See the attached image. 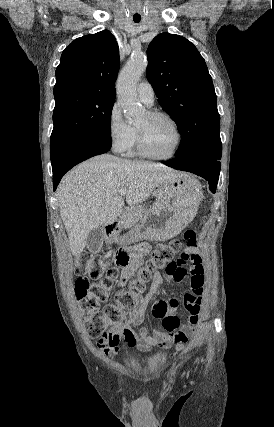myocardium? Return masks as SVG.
<instances>
[{
  "label": "myocardium",
  "mask_w": 274,
  "mask_h": 427,
  "mask_svg": "<svg viewBox=\"0 0 274 427\" xmlns=\"http://www.w3.org/2000/svg\"><path fill=\"white\" fill-rule=\"evenodd\" d=\"M147 114L152 119L163 118V119L167 120L171 124V126L175 132L176 142H175L174 148L172 149V151L169 154H167L165 156L153 155L145 149L142 135H141L140 131L137 128H135V141H136V149H137L138 154L140 156H142L143 158L150 159V160H156V161H166V160L172 159L178 153V151L181 147V143H182V133H181V130L179 128L178 123L176 122V120L171 115H169L166 112L148 111Z\"/></svg>",
  "instance_id": "myocardium-1"
}]
</instances>
